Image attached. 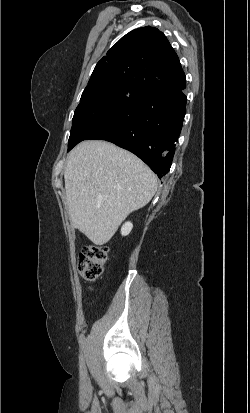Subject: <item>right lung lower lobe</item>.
I'll return each instance as SVG.
<instances>
[{
	"instance_id": "right-lung-lower-lobe-1",
	"label": "right lung lower lobe",
	"mask_w": 250,
	"mask_h": 413,
	"mask_svg": "<svg viewBox=\"0 0 250 413\" xmlns=\"http://www.w3.org/2000/svg\"><path fill=\"white\" fill-rule=\"evenodd\" d=\"M186 82L141 93L86 140H106L142 159L162 178L172 164L186 113Z\"/></svg>"
}]
</instances>
